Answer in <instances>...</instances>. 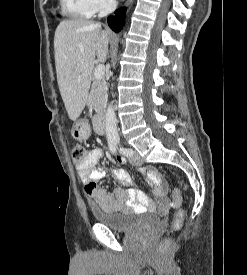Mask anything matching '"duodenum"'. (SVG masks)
<instances>
[{
  "label": "duodenum",
  "instance_id": "obj_1",
  "mask_svg": "<svg viewBox=\"0 0 247 275\" xmlns=\"http://www.w3.org/2000/svg\"><path fill=\"white\" fill-rule=\"evenodd\" d=\"M94 128L95 131L99 134V135H103L106 133V121H105V117L103 114H98L95 118H94Z\"/></svg>",
  "mask_w": 247,
  "mask_h": 275
}]
</instances>
